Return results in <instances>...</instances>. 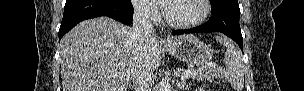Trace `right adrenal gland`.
Wrapping results in <instances>:
<instances>
[{"instance_id":"obj_1","label":"right adrenal gland","mask_w":304,"mask_h":91,"mask_svg":"<svg viewBox=\"0 0 304 91\" xmlns=\"http://www.w3.org/2000/svg\"><path fill=\"white\" fill-rule=\"evenodd\" d=\"M135 89V86L134 85H129V89Z\"/></svg>"}]
</instances>
